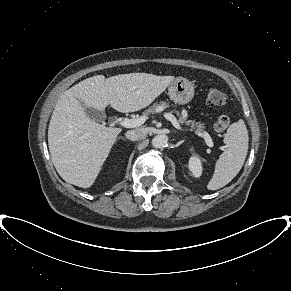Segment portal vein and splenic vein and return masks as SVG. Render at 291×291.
I'll list each match as a JSON object with an SVG mask.
<instances>
[{
    "instance_id": "1",
    "label": "portal vein and splenic vein",
    "mask_w": 291,
    "mask_h": 291,
    "mask_svg": "<svg viewBox=\"0 0 291 291\" xmlns=\"http://www.w3.org/2000/svg\"><path fill=\"white\" fill-rule=\"evenodd\" d=\"M164 117L167 120H169L176 129L183 130V128L180 126L179 122L177 121V119L175 118L174 115H172L171 113H165ZM146 119H147L146 116H142V117H139V118H136V119L125 118L124 120L120 121V125L125 127V128H134V127H138V126L144 124ZM200 135L204 138L206 144L209 147H213V141H212L210 135L207 132H203Z\"/></svg>"
}]
</instances>
